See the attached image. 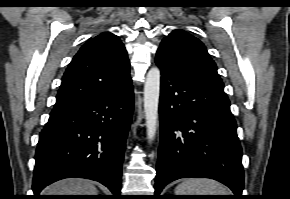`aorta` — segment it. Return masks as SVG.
I'll use <instances>...</instances> for the list:
<instances>
[{"instance_id": "obj_1", "label": "aorta", "mask_w": 290, "mask_h": 199, "mask_svg": "<svg viewBox=\"0 0 290 199\" xmlns=\"http://www.w3.org/2000/svg\"><path fill=\"white\" fill-rule=\"evenodd\" d=\"M160 77L159 68L153 67L148 71L144 84V113L149 142L154 140L158 127Z\"/></svg>"}]
</instances>
